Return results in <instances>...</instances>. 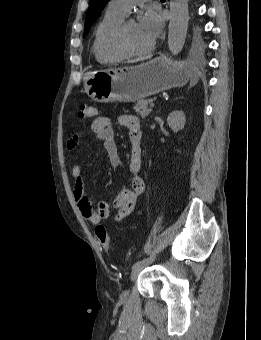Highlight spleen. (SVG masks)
<instances>
[{
	"label": "spleen",
	"mask_w": 261,
	"mask_h": 340,
	"mask_svg": "<svg viewBox=\"0 0 261 340\" xmlns=\"http://www.w3.org/2000/svg\"><path fill=\"white\" fill-rule=\"evenodd\" d=\"M197 82V78L193 77L192 83L195 84Z\"/></svg>",
	"instance_id": "spleen-1"
}]
</instances>
